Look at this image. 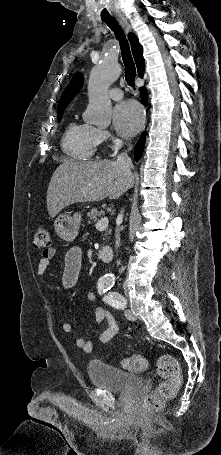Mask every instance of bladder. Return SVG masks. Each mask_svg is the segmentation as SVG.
I'll return each instance as SVG.
<instances>
[{"mask_svg":"<svg viewBox=\"0 0 221 455\" xmlns=\"http://www.w3.org/2000/svg\"><path fill=\"white\" fill-rule=\"evenodd\" d=\"M87 372L93 385L114 392H129L142 388V377L105 363L90 361Z\"/></svg>","mask_w":221,"mask_h":455,"instance_id":"1","label":"bladder"}]
</instances>
